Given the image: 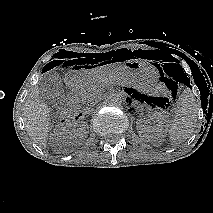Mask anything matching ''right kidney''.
<instances>
[{"label": "right kidney", "mask_w": 213, "mask_h": 213, "mask_svg": "<svg viewBox=\"0 0 213 213\" xmlns=\"http://www.w3.org/2000/svg\"><path fill=\"white\" fill-rule=\"evenodd\" d=\"M85 129H86V125H82L81 128H80V130H81V135H82V136H85L86 133H87V132L85 131Z\"/></svg>", "instance_id": "ca27d5eb"}]
</instances>
